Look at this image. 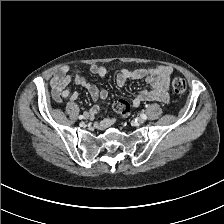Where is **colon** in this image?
Returning a JSON list of instances; mask_svg holds the SVG:
<instances>
[{
  "label": "colon",
  "mask_w": 224,
  "mask_h": 224,
  "mask_svg": "<svg viewBox=\"0 0 224 224\" xmlns=\"http://www.w3.org/2000/svg\"><path fill=\"white\" fill-rule=\"evenodd\" d=\"M172 89L177 95H184L187 90L186 80L182 77H175L172 80ZM114 110L123 116L130 112V105L124 100H118L113 105Z\"/></svg>",
  "instance_id": "1"
}]
</instances>
